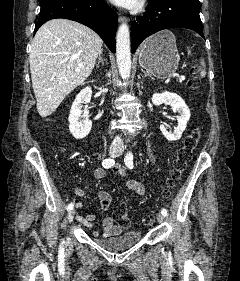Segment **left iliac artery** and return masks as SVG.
Returning <instances> with one entry per match:
<instances>
[{
  "label": "left iliac artery",
  "instance_id": "left-iliac-artery-1",
  "mask_svg": "<svg viewBox=\"0 0 240 281\" xmlns=\"http://www.w3.org/2000/svg\"><path fill=\"white\" fill-rule=\"evenodd\" d=\"M124 163L129 169H133V154L132 152H128L124 158ZM161 213L163 216L167 215V210L165 208H162Z\"/></svg>",
  "mask_w": 240,
  "mask_h": 281
}]
</instances>
